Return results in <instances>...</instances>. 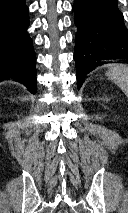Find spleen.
<instances>
[{"label":"spleen","mask_w":128,"mask_h":213,"mask_svg":"<svg viewBox=\"0 0 128 213\" xmlns=\"http://www.w3.org/2000/svg\"><path fill=\"white\" fill-rule=\"evenodd\" d=\"M106 74L128 97V67L123 64H112Z\"/></svg>","instance_id":"obj_1"}]
</instances>
